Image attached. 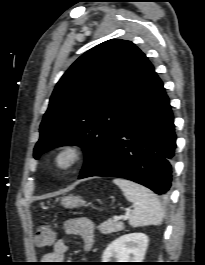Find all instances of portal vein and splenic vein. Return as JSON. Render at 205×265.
Listing matches in <instances>:
<instances>
[{
	"instance_id": "1",
	"label": "portal vein and splenic vein",
	"mask_w": 205,
	"mask_h": 265,
	"mask_svg": "<svg viewBox=\"0 0 205 265\" xmlns=\"http://www.w3.org/2000/svg\"><path fill=\"white\" fill-rule=\"evenodd\" d=\"M126 218H127L126 216H115L114 220L115 221L122 220V219L125 220Z\"/></svg>"
}]
</instances>
